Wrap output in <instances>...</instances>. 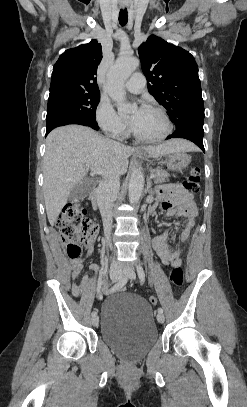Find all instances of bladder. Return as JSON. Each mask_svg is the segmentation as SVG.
I'll list each match as a JSON object with an SVG mask.
<instances>
[{
  "instance_id": "obj_1",
  "label": "bladder",
  "mask_w": 247,
  "mask_h": 407,
  "mask_svg": "<svg viewBox=\"0 0 247 407\" xmlns=\"http://www.w3.org/2000/svg\"><path fill=\"white\" fill-rule=\"evenodd\" d=\"M100 312L102 341L125 361L142 360L157 343L152 308L144 298L121 292L108 297Z\"/></svg>"
}]
</instances>
